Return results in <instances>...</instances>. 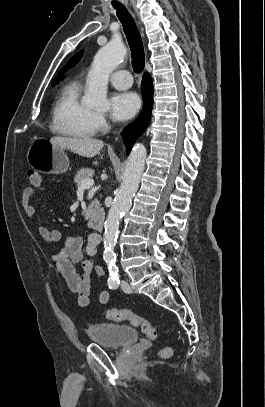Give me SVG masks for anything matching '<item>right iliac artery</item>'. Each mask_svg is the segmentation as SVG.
<instances>
[{"label":"right iliac artery","instance_id":"82829eb1","mask_svg":"<svg viewBox=\"0 0 265 407\" xmlns=\"http://www.w3.org/2000/svg\"><path fill=\"white\" fill-rule=\"evenodd\" d=\"M119 283L120 282H119L118 278L113 277L111 279H108V286L110 289H117L119 286Z\"/></svg>","mask_w":265,"mask_h":407}]
</instances>
